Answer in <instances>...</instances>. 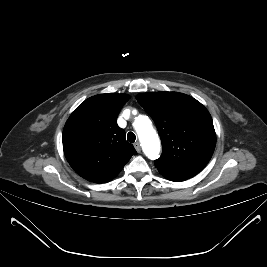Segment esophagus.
Masks as SVG:
<instances>
[{"label":"esophagus","instance_id":"obj_1","mask_svg":"<svg viewBox=\"0 0 267 267\" xmlns=\"http://www.w3.org/2000/svg\"><path fill=\"white\" fill-rule=\"evenodd\" d=\"M134 147H135V149H136V151H137L138 153L141 152V147H140V143H139V142H136V143L134 144Z\"/></svg>","mask_w":267,"mask_h":267}]
</instances>
